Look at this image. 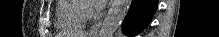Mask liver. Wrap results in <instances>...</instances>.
<instances>
[{"label": "liver", "instance_id": "liver-1", "mask_svg": "<svg viewBox=\"0 0 219 37\" xmlns=\"http://www.w3.org/2000/svg\"><path fill=\"white\" fill-rule=\"evenodd\" d=\"M77 35H80V36H78V37H87V34H86V33H79V34H77Z\"/></svg>", "mask_w": 219, "mask_h": 37}]
</instances>
